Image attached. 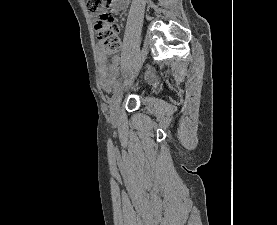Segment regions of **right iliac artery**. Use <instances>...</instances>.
<instances>
[{
	"label": "right iliac artery",
	"mask_w": 277,
	"mask_h": 225,
	"mask_svg": "<svg viewBox=\"0 0 277 225\" xmlns=\"http://www.w3.org/2000/svg\"><path fill=\"white\" fill-rule=\"evenodd\" d=\"M129 80L126 79L123 82L119 83L116 87H115V92L121 90L122 88H124L127 84H128Z\"/></svg>",
	"instance_id": "1"
}]
</instances>
